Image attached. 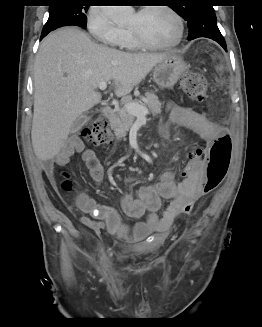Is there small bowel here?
Returning a JSON list of instances; mask_svg holds the SVG:
<instances>
[{"instance_id": "small-bowel-1", "label": "small bowel", "mask_w": 262, "mask_h": 327, "mask_svg": "<svg viewBox=\"0 0 262 327\" xmlns=\"http://www.w3.org/2000/svg\"><path fill=\"white\" fill-rule=\"evenodd\" d=\"M171 121L197 134L207 145L217 142L219 125L211 122L203 113L188 107L168 103ZM80 153L88 168L93 181L101 184L104 178V168L93 150L84 146L81 139L73 136L63 149L56 155L54 163L45 166V173L53 175V165H66L69 158ZM208 153H185V159L176 163L181 169V181H176L172 172H165L154 185L143 186L137 198L124 194L120 204L123 212L131 218L141 219L135 225L129 226L121 222L118 212L111 207L97 204L86 193H79L76 198V207L81 212L98 220L83 217L81 222L95 233H100L106 226L108 232L126 241L144 239L153 232H166L173 220L181 214V208L189 197L197 196L202 182H205L204 166L201 160H208ZM198 197V196H197ZM170 201L162 216L159 215L161 200ZM199 197L197 198V200Z\"/></svg>"}]
</instances>
